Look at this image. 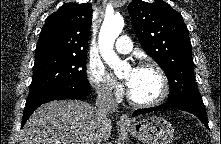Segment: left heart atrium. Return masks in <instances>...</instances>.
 <instances>
[{
    "instance_id": "1",
    "label": "left heart atrium",
    "mask_w": 221,
    "mask_h": 144,
    "mask_svg": "<svg viewBox=\"0 0 221 144\" xmlns=\"http://www.w3.org/2000/svg\"><path fill=\"white\" fill-rule=\"evenodd\" d=\"M134 70H135V69H132V71H134ZM126 84H127L128 87H130L131 84H132V78H128V79L126 80Z\"/></svg>"
}]
</instances>
